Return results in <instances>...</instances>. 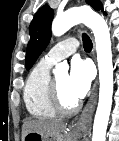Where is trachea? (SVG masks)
Here are the masks:
<instances>
[{"instance_id": "3493384b", "label": "trachea", "mask_w": 119, "mask_h": 141, "mask_svg": "<svg viewBox=\"0 0 119 141\" xmlns=\"http://www.w3.org/2000/svg\"><path fill=\"white\" fill-rule=\"evenodd\" d=\"M83 47L85 51H91L92 49V41L87 34L82 35Z\"/></svg>"}]
</instances>
